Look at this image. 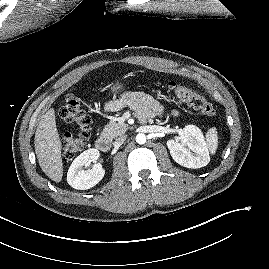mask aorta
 Here are the masks:
<instances>
[{
    "mask_svg": "<svg viewBox=\"0 0 269 269\" xmlns=\"http://www.w3.org/2000/svg\"><path fill=\"white\" fill-rule=\"evenodd\" d=\"M136 142L138 144H145V142H146V136H145V134H143V133L137 134V136H136Z\"/></svg>",
    "mask_w": 269,
    "mask_h": 269,
    "instance_id": "1",
    "label": "aorta"
}]
</instances>
